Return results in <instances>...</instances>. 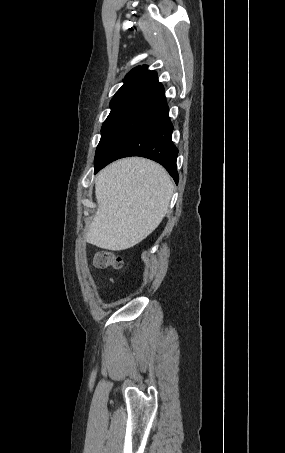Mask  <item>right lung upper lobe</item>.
Instances as JSON below:
<instances>
[{
  "instance_id": "cb5924a9",
  "label": "right lung upper lobe",
  "mask_w": 285,
  "mask_h": 453,
  "mask_svg": "<svg viewBox=\"0 0 285 453\" xmlns=\"http://www.w3.org/2000/svg\"><path fill=\"white\" fill-rule=\"evenodd\" d=\"M155 78H157V73L148 70L147 65L135 67L125 76V79L123 80L124 84L116 92L112 100H126L138 89Z\"/></svg>"
}]
</instances>
